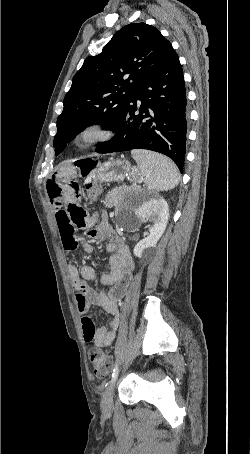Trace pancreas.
<instances>
[{
    "mask_svg": "<svg viewBox=\"0 0 250 454\" xmlns=\"http://www.w3.org/2000/svg\"><path fill=\"white\" fill-rule=\"evenodd\" d=\"M121 203V195L119 189H114L106 196L104 200L105 207L112 208L113 206H119Z\"/></svg>",
    "mask_w": 250,
    "mask_h": 454,
    "instance_id": "1",
    "label": "pancreas"
}]
</instances>
